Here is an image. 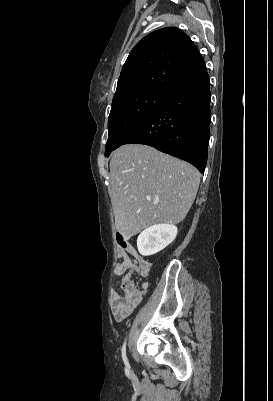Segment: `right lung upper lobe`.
Here are the masks:
<instances>
[{"instance_id": "cb5924a9", "label": "right lung upper lobe", "mask_w": 273, "mask_h": 401, "mask_svg": "<svg viewBox=\"0 0 273 401\" xmlns=\"http://www.w3.org/2000/svg\"><path fill=\"white\" fill-rule=\"evenodd\" d=\"M205 69L197 47L183 31L175 27L154 31L130 52L113 101L143 91L166 94Z\"/></svg>"}]
</instances>
